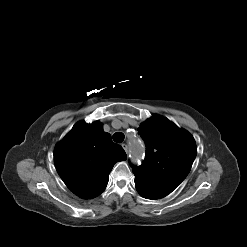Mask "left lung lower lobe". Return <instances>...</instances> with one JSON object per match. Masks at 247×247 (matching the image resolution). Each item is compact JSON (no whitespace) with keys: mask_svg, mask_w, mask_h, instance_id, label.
<instances>
[{"mask_svg":"<svg viewBox=\"0 0 247 247\" xmlns=\"http://www.w3.org/2000/svg\"><path fill=\"white\" fill-rule=\"evenodd\" d=\"M136 189H137V191L139 192V194H140L142 197L147 198V199H156V198H154V197H152V196H150V195L144 193L142 190H140V189H138V188H136Z\"/></svg>","mask_w":247,"mask_h":247,"instance_id":"1","label":"left lung lower lobe"}]
</instances>
